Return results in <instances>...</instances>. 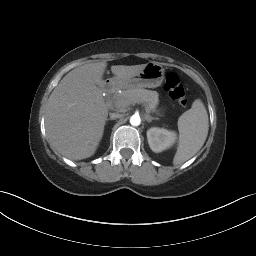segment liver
Segmentation results:
<instances>
[{
  "mask_svg": "<svg viewBox=\"0 0 256 256\" xmlns=\"http://www.w3.org/2000/svg\"><path fill=\"white\" fill-rule=\"evenodd\" d=\"M146 64L113 65L119 82L139 74ZM106 61L81 65L59 82L51 93L45 113V126L52 147L71 160L95 154L102 139L108 107L98 86L104 85Z\"/></svg>",
  "mask_w": 256,
  "mask_h": 256,
  "instance_id": "liver-1",
  "label": "liver"
}]
</instances>
